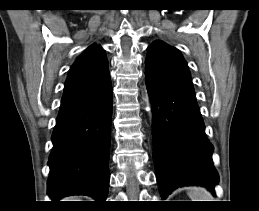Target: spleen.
<instances>
[{"instance_id":"3e777b00","label":"spleen","mask_w":259,"mask_h":211,"mask_svg":"<svg viewBox=\"0 0 259 211\" xmlns=\"http://www.w3.org/2000/svg\"><path fill=\"white\" fill-rule=\"evenodd\" d=\"M191 201H214L212 194L203 187L192 186L187 189Z\"/></svg>"}]
</instances>
